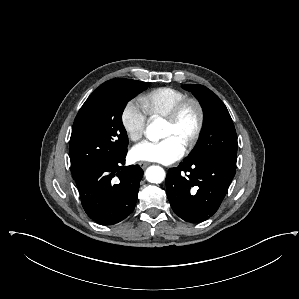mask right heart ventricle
<instances>
[{
	"mask_svg": "<svg viewBox=\"0 0 299 299\" xmlns=\"http://www.w3.org/2000/svg\"><path fill=\"white\" fill-rule=\"evenodd\" d=\"M187 95L176 88L160 87L148 92L141 98L145 112L151 118H165L173 107Z\"/></svg>",
	"mask_w": 299,
	"mask_h": 299,
	"instance_id": "obj_1",
	"label": "right heart ventricle"
}]
</instances>
